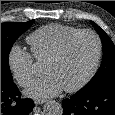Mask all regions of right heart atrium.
I'll return each instance as SVG.
<instances>
[{
    "label": "right heart atrium",
    "instance_id": "obj_1",
    "mask_svg": "<svg viewBox=\"0 0 115 115\" xmlns=\"http://www.w3.org/2000/svg\"><path fill=\"white\" fill-rule=\"evenodd\" d=\"M9 69L21 87L28 86L35 76L33 55L18 44L10 47L7 56Z\"/></svg>",
    "mask_w": 115,
    "mask_h": 115
}]
</instances>
